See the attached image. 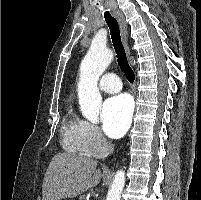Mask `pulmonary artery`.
<instances>
[{
  "label": "pulmonary artery",
  "instance_id": "e3ab8cb5",
  "mask_svg": "<svg viewBox=\"0 0 201 200\" xmlns=\"http://www.w3.org/2000/svg\"><path fill=\"white\" fill-rule=\"evenodd\" d=\"M99 88L106 93H117L122 89L119 77L114 73H105L99 81Z\"/></svg>",
  "mask_w": 201,
  "mask_h": 200
}]
</instances>
